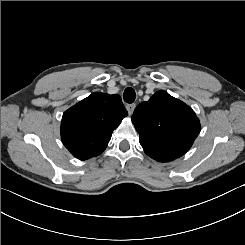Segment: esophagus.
Segmentation results:
<instances>
[{
    "label": "esophagus",
    "mask_w": 245,
    "mask_h": 245,
    "mask_svg": "<svg viewBox=\"0 0 245 245\" xmlns=\"http://www.w3.org/2000/svg\"><path fill=\"white\" fill-rule=\"evenodd\" d=\"M136 105L134 103L132 104H127L126 108H127V111L129 113V115H131L135 109Z\"/></svg>",
    "instance_id": "1"
}]
</instances>
